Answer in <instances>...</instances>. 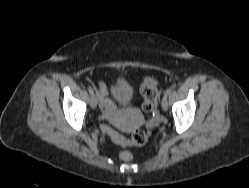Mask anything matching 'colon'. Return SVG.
Masks as SVG:
<instances>
[{
    "label": "colon",
    "instance_id": "obj_1",
    "mask_svg": "<svg viewBox=\"0 0 249 188\" xmlns=\"http://www.w3.org/2000/svg\"><path fill=\"white\" fill-rule=\"evenodd\" d=\"M141 95L143 97L142 109L147 116L146 130H135L130 139L115 132L109 126H103L102 131L108 135L114 142L120 145H137L142 146L147 142L148 136L155 125L157 119V100L158 89L157 80L154 77H147L141 85ZM120 158L130 161L132 155L129 152H121Z\"/></svg>",
    "mask_w": 249,
    "mask_h": 188
}]
</instances>
